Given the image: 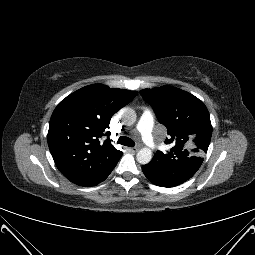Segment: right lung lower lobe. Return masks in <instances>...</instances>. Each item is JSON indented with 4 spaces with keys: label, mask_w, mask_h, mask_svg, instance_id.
<instances>
[{
    "label": "right lung lower lobe",
    "mask_w": 255,
    "mask_h": 255,
    "mask_svg": "<svg viewBox=\"0 0 255 255\" xmlns=\"http://www.w3.org/2000/svg\"><path fill=\"white\" fill-rule=\"evenodd\" d=\"M113 170V169H112ZM111 170V171H112ZM111 171L106 175V176H104L102 179H100L99 181H97L95 184H93V185H97V184H99L100 182H102V181H104L107 177H108V175L111 173ZM93 185H91V186H93Z\"/></svg>",
    "instance_id": "obj_1"
}]
</instances>
